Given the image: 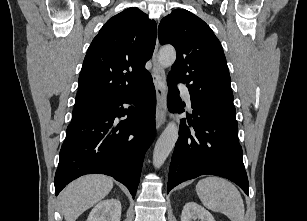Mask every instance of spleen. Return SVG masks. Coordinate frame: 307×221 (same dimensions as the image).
<instances>
[{"mask_svg": "<svg viewBox=\"0 0 307 221\" xmlns=\"http://www.w3.org/2000/svg\"><path fill=\"white\" fill-rule=\"evenodd\" d=\"M196 192L206 208L225 214L231 221H244L243 200L231 182L209 176L197 183Z\"/></svg>", "mask_w": 307, "mask_h": 221, "instance_id": "spleen-1", "label": "spleen"}]
</instances>
